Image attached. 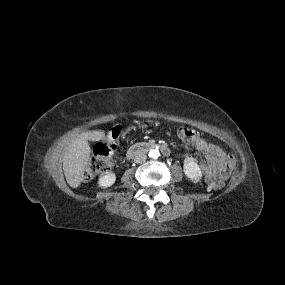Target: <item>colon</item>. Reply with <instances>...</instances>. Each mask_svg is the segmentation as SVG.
<instances>
[{"instance_id":"colon-1","label":"colon","mask_w":285,"mask_h":285,"mask_svg":"<svg viewBox=\"0 0 285 285\" xmlns=\"http://www.w3.org/2000/svg\"><path fill=\"white\" fill-rule=\"evenodd\" d=\"M120 134V126H114L110 129L106 139L95 145L93 155L83 173V178L85 180H90L96 176L102 175L111 169L113 165V150L118 145ZM179 137L188 145H194L199 139L198 133L190 128L180 129ZM208 187L212 190L220 189L222 187V182L219 180H212L208 183Z\"/></svg>"}]
</instances>
